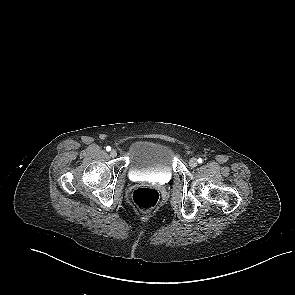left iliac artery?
I'll return each mask as SVG.
<instances>
[{"instance_id":"1","label":"left iliac artery","mask_w":295,"mask_h":295,"mask_svg":"<svg viewBox=\"0 0 295 295\" xmlns=\"http://www.w3.org/2000/svg\"><path fill=\"white\" fill-rule=\"evenodd\" d=\"M198 162H199V163H202V162H203V159H202V158H199V159H198Z\"/></svg>"}]
</instances>
